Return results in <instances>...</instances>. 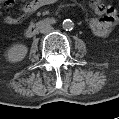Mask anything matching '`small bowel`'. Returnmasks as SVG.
<instances>
[{
    "label": "small bowel",
    "instance_id": "small-bowel-1",
    "mask_svg": "<svg viewBox=\"0 0 119 119\" xmlns=\"http://www.w3.org/2000/svg\"><path fill=\"white\" fill-rule=\"evenodd\" d=\"M54 0H32L25 3L22 7L23 14L19 16L7 15L5 22L9 25H16L21 23L25 16L36 12L38 9L53 4ZM5 6L10 8L14 6L15 0H6ZM91 7L95 13L99 16L89 20V27L94 35L98 37H105L109 34L112 27L116 22L115 9L112 6L103 4L99 0H92L90 2Z\"/></svg>",
    "mask_w": 119,
    "mask_h": 119
}]
</instances>
